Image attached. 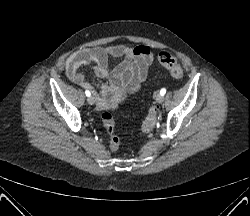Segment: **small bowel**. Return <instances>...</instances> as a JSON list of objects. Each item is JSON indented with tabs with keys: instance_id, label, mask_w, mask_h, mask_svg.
Returning <instances> with one entry per match:
<instances>
[{
	"instance_id": "1",
	"label": "small bowel",
	"mask_w": 250,
	"mask_h": 216,
	"mask_svg": "<svg viewBox=\"0 0 250 216\" xmlns=\"http://www.w3.org/2000/svg\"><path fill=\"white\" fill-rule=\"evenodd\" d=\"M119 58L121 62L111 68L109 61ZM153 54L149 46L112 45L82 49L70 56L66 63L68 79L93 92L97 106L107 109L136 92L149 74ZM92 66L96 75L107 83L96 88L86 80L82 68Z\"/></svg>"
}]
</instances>
